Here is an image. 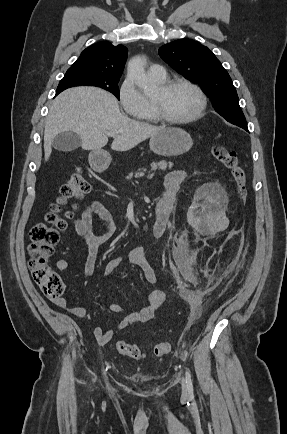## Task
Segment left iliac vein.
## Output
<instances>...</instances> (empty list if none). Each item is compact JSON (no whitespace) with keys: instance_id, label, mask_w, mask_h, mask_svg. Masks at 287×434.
<instances>
[{"instance_id":"4c4485c4","label":"left iliac vein","mask_w":287,"mask_h":434,"mask_svg":"<svg viewBox=\"0 0 287 434\" xmlns=\"http://www.w3.org/2000/svg\"><path fill=\"white\" fill-rule=\"evenodd\" d=\"M181 385H182V393L184 396L188 395V388H187V383H186V379L182 378L181 380Z\"/></svg>"}]
</instances>
